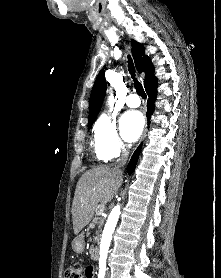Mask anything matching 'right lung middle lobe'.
<instances>
[{"label":"right lung middle lobe","instance_id":"right-lung-middle-lobe-1","mask_svg":"<svg viewBox=\"0 0 221 278\" xmlns=\"http://www.w3.org/2000/svg\"><path fill=\"white\" fill-rule=\"evenodd\" d=\"M91 127H92V124H89V125H88V128H91Z\"/></svg>","mask_w":221,"mask_h":278}]
</instances>
